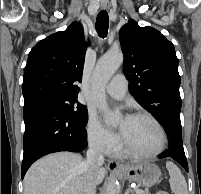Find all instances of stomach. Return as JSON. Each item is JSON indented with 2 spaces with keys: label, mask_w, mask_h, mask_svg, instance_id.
<instances>
[{
  "label": "stomach",
  "mask_w": 201,
  "mask_h": 194,
  "mask_svg": "<svg viewBox=\"0 0 201 194\" xmlns=\"http://www.w3.org/2000/svg\"><path fill=\"white\" fill-rule=\"evenodd\" d=\"M121 175L131 182H136L145 187H151L157 183L161 176L160 169L148 162L127 164L122 167Z\"/></svg>",
  "instance_id": "0dacf381"
}]
</instances>
